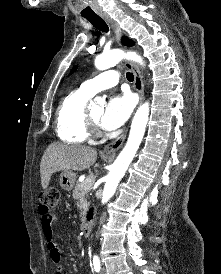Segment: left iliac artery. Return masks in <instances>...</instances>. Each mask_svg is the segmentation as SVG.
Masks as SVG:
<instances>
[{"label":"left iliac artery","instance_id":"44dca946","mask_svg":"<svg viewBox=\"0 0 221 274\" xmlns=\"http://www.w3.org/2000/svg\"><path fill=\"white\" fill-rule=\"evenodd\" d=\"M93 266H94V270L96 271V272H99L100 271V260H99V258H98V256H94L93 257Z\"/></svg>","mask_w":221,"mask_h":274}]
</instances>
